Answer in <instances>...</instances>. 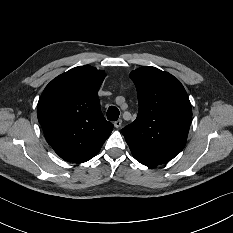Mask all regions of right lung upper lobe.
Masks as SVG:
<instances>
[{"instance_id":"1","label":"right lung upper lobe","mask_w":233,"mask_h":233,"mask_svg":"<svg viewBox=\"0 0 233 233\" xmlns=\"http://www.w3.org/2000/svg\"><path fill=\"white\" fill-rule=\"evenodd\" d=\"M104 71L85 65L59 75L44 89L37 116L48 144L65 161L83 163L94 157L110 135L98 99Z\"/></svg>"}]
</instances>
